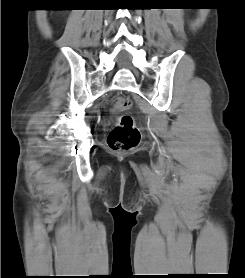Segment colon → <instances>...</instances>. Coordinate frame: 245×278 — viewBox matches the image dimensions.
Masks as SVG:
<instances>
[{
  "label": "colon",
  "mask_w": 245,
  "mask_h": 278,
  "mask_svg": "<svg viewBox=\"0 0 245 278\" xmlns=\"http://www.w3.org/2000/svg\"><path fill=\"white\" fill-rule=\"evenodd\" d=\"M132 101L127 95L119 94L114 102L113 110L120 112L131 107ZM140 130L131 115L118 117L116 125L108 136L109 146L117 151H126L134 148L140 141Z\"/></svg>",
  "instance_id": "obj_1"
}]
</instances>
